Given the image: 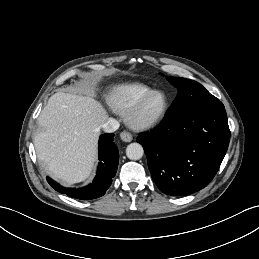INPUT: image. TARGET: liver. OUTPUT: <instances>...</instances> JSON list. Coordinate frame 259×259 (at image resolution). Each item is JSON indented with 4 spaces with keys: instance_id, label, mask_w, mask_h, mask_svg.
Wrapping results in <instances>:
<instances>
[{
    "instance_id": "6515ba94",
    "label": "liver",
    "mask_w": 259,
    "mask_h": 259,
    "mask_svg": "<svg viewBox=\"0 0 259 259\" xmlns=\"http://www.w3.org/2000/svg\"><path fill=\"white\" fill-rule=\"evenodd\" d=\"M103 106L88 96L57 92L42 109L34 138L38 159L48 174L66 184L85 180L97 158Z\"/></svg>"
}]
</instances>
